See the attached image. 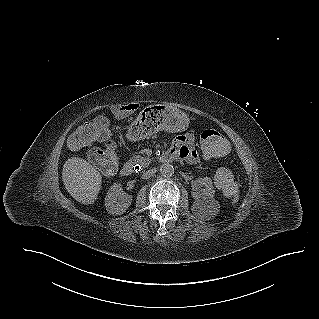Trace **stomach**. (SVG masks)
I'll return each instance as SVG.
<instances>
[{
    "label": "stomach",
    "instance_id": "obj_1",
    "mask_svg": "<svg viewBox=\"0 0 319 319\" xmlns=\"http://www.w3.org/2000/svg\"><path fill=\"white\" fill-rule=\"evenodd\" d=\"M190 119L186 113L169 104L144 108L136 120L127 127V135L134 142H141L149 135L166 130L171 133L186 131Z\"/></svg>",
    "mask_w": 319,
    "mask_h": 319
}]
</instances>
